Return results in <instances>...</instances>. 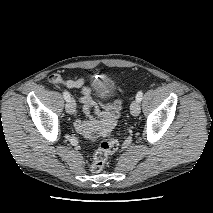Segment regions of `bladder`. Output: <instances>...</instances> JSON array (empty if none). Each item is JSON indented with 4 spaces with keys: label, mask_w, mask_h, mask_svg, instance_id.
<instances>
[{
    "label": "bladder",
    "mask_w": 213,
    "mask_h": 213,
    "mask_svg": "<svg viewBox=\"0 0 213 213\" xmlns=\"http://www.w3.org/2000/svg\"><path fill=\"white\" fill-rule=\"evenodd\" d=\"M93 88L100 97L106 98L114 93L115 83L110 77L102 75L93 80Z\"/></svg>",
    "instance_id": "obj_1"
}]
</instances>
